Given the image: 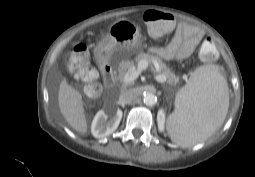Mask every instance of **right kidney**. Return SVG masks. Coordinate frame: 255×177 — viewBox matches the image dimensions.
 <instances>
[{
	"label": "right kidney",
	"mask_w": 255,
	"mask_h": 177,
	"mask_svg": "<svg viewBox=\"0 0 255 177\" xmlns=\"http://www.w3.org/2000/svg\"><path fill=\"white\" fill-rule=\"evenodd\" d=\"M122 115L123 113L120 109L110 115H107L103 110H100L92 121V135L99 139L109 136L119 126ZM108 117H110V119L106 121Z\"/></svg>",
	"instance_id": "right-kidney-1"
}]
</instances>
